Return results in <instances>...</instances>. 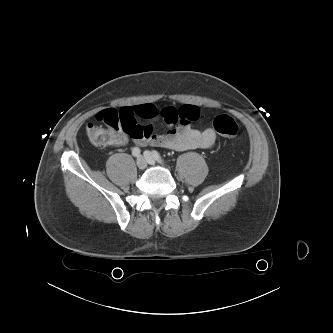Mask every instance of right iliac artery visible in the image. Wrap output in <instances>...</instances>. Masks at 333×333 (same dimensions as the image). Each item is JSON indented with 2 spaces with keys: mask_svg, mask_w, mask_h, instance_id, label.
Masks as SVG:
<instances>
[{
  "mask_svg": "<svg viewBox=\"0 0 333 333\" xmlns=\"http://www.w3.org/2000/svg\"><path fill=\"white\" fill-rule=\"evenodd\" d=\"M139 154H140V149L138 147H135V148L132 149V155L134 157H138Z\"/></svg>",
  "mask_w": 333,
  "mask_h": 333,
  "instance_id": "82829eb1",
  "label": "right iliac artery"
}]
</instances>
